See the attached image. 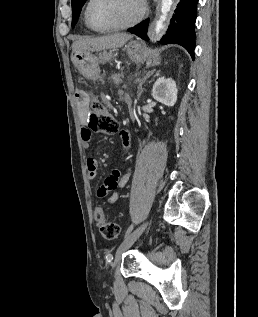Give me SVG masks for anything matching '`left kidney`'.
Returning <instances> with one entry per match:
<instances>
[{
	"mask_svg": "<svg viewBox=\"0 0 258 317\" xmlns=\"http://www.w3.org/2000/svg\"><path fill=\"white\" fill-rule=\"evenodd\" d=\"M177 92L175 80L173 78H165V76L157 78L152 88L153 98L160 100V102L167 104V106H174L177 100Z\"/></svg>",
	"mask_w": 258,
	"mask_h": 317,
	"instance_id": "left-kidney-1",
	"label": "left kidney"
}]
</instances>
